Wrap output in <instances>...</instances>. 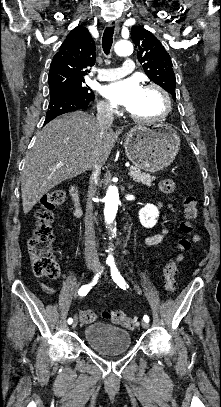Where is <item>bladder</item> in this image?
I'll return each instance as SVG.
<instances>
[{
    "label": "bladder",
    "mask_w": 221,
    "mask_h": 407,
    "mask_svg": "<svg viewBox=\"0 0 221 407\" xmlns=\"http://www.w3.org/2000/svg\"><path fill=\"white\" fill-rule=\"evenodd\" d=\"M86 343L98 353L114 356L124 353L130 346L131 333L107 323H92L84 330Z\"/></svg>",
    "instance_id": "31cf9c89"
}]
</instances>
